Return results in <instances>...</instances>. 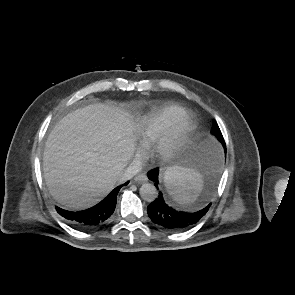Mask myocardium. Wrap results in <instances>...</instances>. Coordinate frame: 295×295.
Returning a JSON list of instances; mask_svg holds the SVG:
<instances>
[{
    "instance_id": "1",
    "label": "myocardium",
    "mask_w": 295,
    "mask_h": 295,
    "mask_svg": "<svg viewBox=\"0 0 295 295\" xmlns=\"http://www.w3.org/2000/svg\"><path fill=\"white\" fill-rule=\"evenodd\" d=\"M193 130V120L187 115H181L155 142L152 156L156 159H170L185 145Z\"/></svg>"
}]
</instances>
